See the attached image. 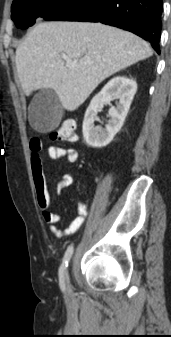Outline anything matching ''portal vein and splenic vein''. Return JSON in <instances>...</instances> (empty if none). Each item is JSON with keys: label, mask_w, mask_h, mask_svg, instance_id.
Wrapping results in <instances>:
<instances>
[{"label": "portal vein and splenic vein", "mask_w": 171, "mask_h": 337, "mask_svg": "<svg viewBox=\"0 0 171 337\" xmlns=\"http://www.w3.org/2000/svg\"><path fill=\"white\" fill-rule=\"evenodd\" d=\"M65 60H66V66L68 68H74L75 67V63L74 62H72L71 60L67 59L66 57H65Z\"/></svg>", "instance_id": "1"}]
</instances>
